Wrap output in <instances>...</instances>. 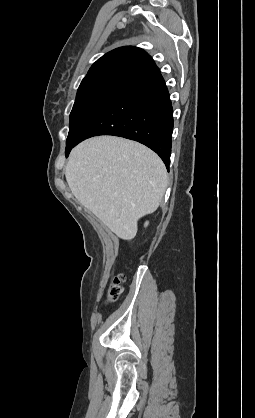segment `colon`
Returning a JSON list of instances; mask_svg holds the SVG:
<instances>
[{
	"mask_svg": "<svg viewBox=\"0 0 255 418\" xmlns=\"http://www.w3.org/2000/svg\"><path fill=\"white\" fill-rule=\"evenodd\" d=\"M123 281H124L123 275H117L114 277L108 290V298L110 301L115 300L120 295L122 291L121 284L123 283Z\"/></svg>",
	"mask_w": 255,
	"mask_h": 418,
	"instance_id": "obj_1",
	"label": "colon"
}]
</instances>
